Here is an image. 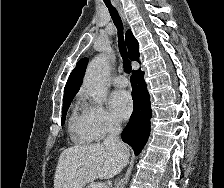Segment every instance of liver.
<instances>
[{
	"instance_id": "obj_1",
	"label": "liver",
	"mask_w": 224,
	"mask_h": 188,
	"mask_svg": "<svg viewBox=\"0 0 224 188\" xmlns=\"http://www.w3.org/2000/svg\"><path fill=\"white\" fill-rule=\"evenodd\" d=\"M129 156L127 146L122 149L102 143L65 149L56 167L54 188H83L97 178H112L125 167Z\"/></svg>"
}]
</instances>
